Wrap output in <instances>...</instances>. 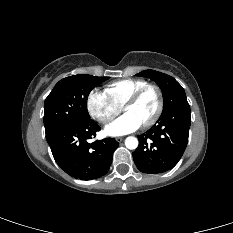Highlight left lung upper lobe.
<instances>
[{"label":"left lung upper lobe","instance_id":"left-lung-upper-lobe-1","mask_svg":"<svg viewBox=\"0 0 233 233\" xmlns=\"http://www.w3.org/2000/svg\"><path fill=\"white\" fill-rule=\"evenodd\" d=\"M137 76L150 78L159 85L163 93V112L182 101H187L184 89L173 77L154 70L142 71Z\"/></svg>","mask_w":233,"mask_h":233}]
</instances>
